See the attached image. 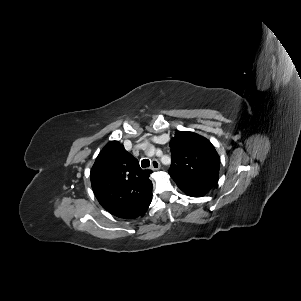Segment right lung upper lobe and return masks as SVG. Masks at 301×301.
<instances>
[{
  "label": "right lung upper lobe",
  "mask_w": 301,
  "mask_h": 301,
  "mask_svg": "<svg viewBox=\"0 0 301 301\" xmlns=\"http://www.w3.org/2000/svg\"><path fill=\"white\" fill-rule=\"evenodd\" d=\"M151 173L142 170L122 144L111 141L99 153L90 178L103 208L119 218L132 219L143 214L151 203Z\"/></svg>",
  "instance_id": "obj_1"
}]
</instances>
